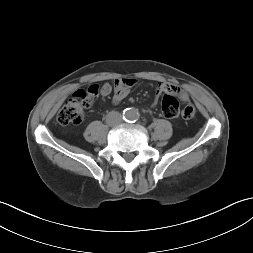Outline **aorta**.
<instances>
[{
  "instance_id": "1",
  "label": "aorta",
  "mask_w": 253,
  "mask_h": 253,
  "mask_svg": "<svg viewBox=\"0 0 253 253\" xmlns=\"http://www.w3.org/2000/svg\"><path fill=\"white\" fill-rule=\"evenodd\" d=\"M124 118L128 121H135L139 118V112L135 108H127L124 111Z\"/></svg>"
}]
</instances>
